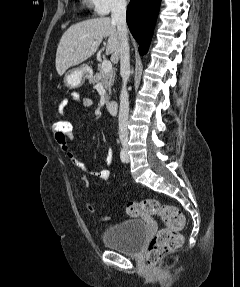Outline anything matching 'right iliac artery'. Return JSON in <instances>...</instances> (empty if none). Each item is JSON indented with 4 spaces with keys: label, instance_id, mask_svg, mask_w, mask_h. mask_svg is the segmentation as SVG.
<instances>
[{
    "label": "right iliac artery",
    "instance_id": "1",
    "mask_svg": "<svg viewBox=\"0 0 240 287\" xmlns=\"http://www.w3.org/2000/svg\"><path fill=\"white\" fill-rule=\"evenodd\" d=\"M120 159L123 163L126 162V153L124 151V149H121V152H120Z\"/></svg>",
    "mask_w": 240,
    "mask_h": 287
}]
</instances>
